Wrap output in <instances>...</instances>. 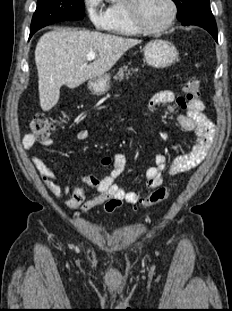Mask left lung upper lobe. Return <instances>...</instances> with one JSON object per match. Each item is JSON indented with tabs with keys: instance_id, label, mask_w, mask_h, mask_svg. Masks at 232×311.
<instances>
[{
	"instance_id": "left-lung-upper-lobe-1",
	"label": "left lung upper lobe",
	"mask_w": 232,
	"mask_h": 311,
	"mask_svg": "<svg viewBox=\"0 0 232 311\" xmlns=\"http://www.w3.org/2000/svg\"><path fill=\"white\" fill-rule=\"evenodd\" d=\"M177 6L178 20L184 16L196 11L200 7L209 4V0H173Z\"/></svg>"
}]
</instances>
